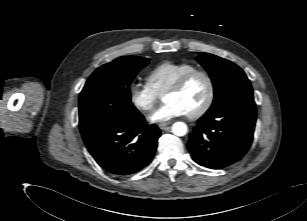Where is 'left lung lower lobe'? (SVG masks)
<instances>
[{"mask_svg": "<svg viewBox=\"0 0 307 221\" xmlns=\"http://www.w3.org/2000/svg\"><path fill=\"white\" fill-rule=\"evenodd\" d=\"M254 99H239L208 110L189 135L187 147L193 160L210 169L239 161L248 151L255 128Z\"/></svg>", "mask_w": 307, "mask_h": 221, "instance_id": "obj_1", "label": "left lung lower lobe"}]
</instances>
